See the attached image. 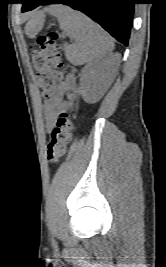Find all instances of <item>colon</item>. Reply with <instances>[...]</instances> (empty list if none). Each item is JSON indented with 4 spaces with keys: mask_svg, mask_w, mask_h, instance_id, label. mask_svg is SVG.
Wrapping results in <instances>:
<instances>
[{
    "mask_svg": "<svg viewBox=\"0 0 166 267\" xmlns=\"http://www.w3.org/2000/svg\"><path fill=\"white\" fill-rule=\"evenodd\" d=\"M61 34L49 31L36 37L39 49L32 51V64L38 74L44 95L50 96L62 75L63 62L59 39ZM57 68V71L52 70ZM74 124L70 113L62 112L51 132L47 145V158L51 163L58 162L65 154L72 139Z\"/></svg>",
    "mask_w": 166,
    "mask_h": 267,
    "instance_id": "5ec220e1",
    "label": "colon"
}]
</instances>
